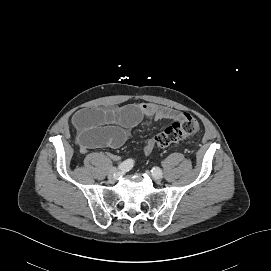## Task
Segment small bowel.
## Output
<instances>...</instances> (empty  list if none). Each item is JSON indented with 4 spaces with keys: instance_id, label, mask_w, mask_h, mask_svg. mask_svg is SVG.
Wrapping results in <instances>:
<instances>
[{
    "instance_id": "obj_1",
    "label": "small bowel",
    "mask_w": 271,
    "mask_h": 271,
    "mask_svg": "<svg viewBox=\"0 0 271 271\" xmlns=\"http://www.w3.org/2000/svg\"><path fill=\"white\" fill-rule=\"evenodd\" d=\"M183 114L170 108L151 103H140L112 110L83 109L76 112L72 122L77 129L76 141L82 153L90 149L118 148L127 139L131 128L144 117L157 120H180ZM152 150L151 143L145 146L144 153Z\"/></svg>"
}]
</instances>
